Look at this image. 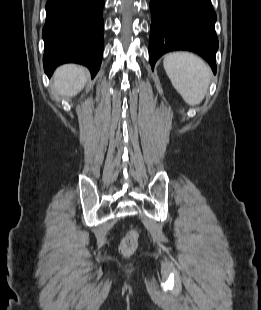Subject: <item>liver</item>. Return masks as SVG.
Returning <instances> with one entry per match:
<instances>
[{"instance_id": "liver-1", "label": "liver", "mask_w": 261, "mask_h": 310, "mask_svg": "<svg viewBox=\"0 0 261 310\" xmlns=\"http://www.w3.org/2000/svg\"><path fill=\"white\" fill-rule=\"evenodd\" d=\"M88 76V71L81 66L64 65L55 72L53 77L54 90L62 96L73 97L83 89Z\"/></svg>"}]
</instances>
